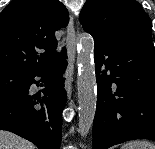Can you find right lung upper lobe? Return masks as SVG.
Returning a JSON list of instances; mask_svg holds the SVG:
<instances>
[{"mask_svg": "<svg viewBox=\"0 0 155 149\" xmlns=\"http://www.w3.org/2000/svg\"><path fill=\"white\" fill-rule=\"evenodd\" d=\"M68 15L59 0L10 2L0 13V69L31 75L53 65L60 58L55 31L67 26Z\"/></svg>", "mask_w": 155, "mask_h": 149, "instance_id": "right-lung-upper-lobe-1", "label": "right lung upper lobe"}]
</instances>
